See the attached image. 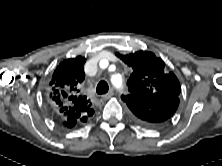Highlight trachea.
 I'll use <instances>...</instances> for the list:
<instances>
[{
    "instance_id": "1",
    "label": "trachea",
    "mask_w": 222,
    "mask_h": 166,
    "mask_svg": "<svg viewBox=\"0 0 222 166\" xmlns=\"http://www.w3.org/2000/svg\"><path fill=\"white\" fill-rule=\"evenodd\" d=\"M109 90V86L106 81H100L96 87L97 94H105Z\"/></svg>"
}]
</instances>
